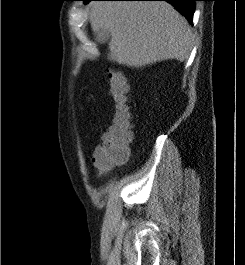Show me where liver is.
Masks as SVG:
<instances>
[{"label": "liver", "instance_id": "1", "mask_svg": "<svg viewBox=\"0 0 245 265\" xmlns=\"http://www.w3.org/2000/svg\"><path fill=\"white\" fill-rule=\"evenodd\" d=\"M93 31H109L110 58L141 68L156 62L189 57L192 32L188 21L167 2L94 1Z\"/></svg>", "mask_w": 245, "mask_h": 265}]
</instances>
